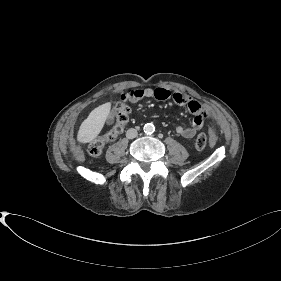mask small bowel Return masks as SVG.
<instances>
[{
	"instance_id": "small-bowel-1",
	"label": "small bowel",
	"mask_w": 281,
	"mask_h": 281,
	"mask_svg": "<svg viewBox=\"0 0 281 281\" xmlns=\"http://www.w3.org/2000/svg\"><path fill=\"white\" fill-rule=\"evenodd\" d=\"M154 98L160 101L172 99L180 106H186L193 115V122L191 127L177 126L176 133L186 139L193 138L196 133L202 129L206 119L209 116V110L199 101L190 96L179 92L171 91L167 88L157 89H138L132 90L128 93L122 94L120 101L136 103L142 99Z\"/></svg>"
}]
</instances>
